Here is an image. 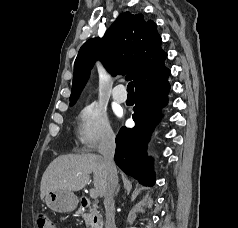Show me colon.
<instances>
[{
    "mask_svg": "<svg viewBox=\"0 0 238 228\" xmlns=\"http://www.w3.org/2000/svg\"><path fill=\"white\" fill-rule=\"evenodd\" d=\"M37 228H55L53 221L46 212H38L36 215Z\"/></svg>",
    "mask_w": 238,
    "mask_h": 228,
    "instance_id": "1",
    "label": "colon"
}]
</instances>
